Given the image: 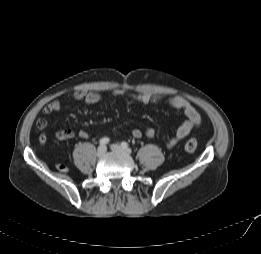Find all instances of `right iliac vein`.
I'll list each match as a JSON object with an SVG mask.
<instances>
[{
  "label": "right iliac vein",
  "instance_id": "right-iliac-vein-1",
  "mask_svg": "<svg viewBox=\"0 0 261 254\" xmlns=\"http://www.w3.org/2000/svg\"><path fill=\"white\" fill-rule=\"evenodd\" d=\"M106 151H107V148L104 145L99 146L97 149V156L98 157L103 156L106 153Z\"/></svg>",
  "mask_w": 261,
  "mask_h": 254
}]
</instances>
